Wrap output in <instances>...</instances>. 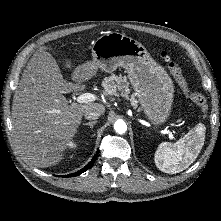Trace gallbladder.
I'll list each match as a JSON object with an SVG mask.
<instances>
[{"instance_id": "1", "label": "gallbladder", "mask_w": 221, "mask_h": 221, "mask_svg": "<svg viewBox=\"0 0 221 221\" xmlns=\"http://www.w3.org/2000/svg\"><path fill=\"white\" fill-rule=\"evenodd\" d=\"M32 63L37 75L45 79L49 85L54 87L57 86L58 90L63 93L69 92L71 87L63 80V75L51 56L42 53L38 54L34 57Z\"/></svg>"}]
</instances>
